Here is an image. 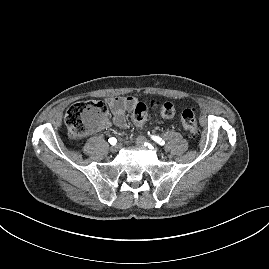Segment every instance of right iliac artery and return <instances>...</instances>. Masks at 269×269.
<instances>
[{
  "mask_svg": "<svg viewBox=\"0 0 269 269\" xmlns=\"http://www.w3.org/2000/svg\"><path fill=\"white\" fill-rule=\"evenodd\" d=\"M109 143L111 144V145H115L116 143H117V140H116V138H114V137H112V138H109Z\"/></svg>",
  "mask_w": 269,
  "mask_h": 269,
  "instance_id": "obj_1",
  "label": "right iliac artery"
}]
</instances>
